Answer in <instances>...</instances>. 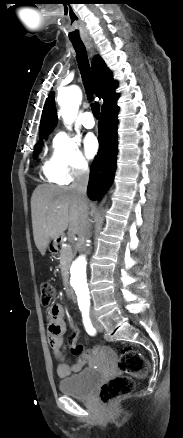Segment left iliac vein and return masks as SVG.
I'll use <instances>...</instances> for the list:
<instances>
[{
    "mask_svg": "<svg viewBox=\"0 0 183 438\" xmlns=\"http://www.w3.org/2000/svg\"><path fill=\"white\" fill-rule=\"evenodd\" d=\"M91 318H92V322H93V325L96 328V330L102 331L103 327H102L101 323L96 319L94 314L91 315Z\"/></svg>",
    "mask_w": 183,
    "mask_h": 438,
    "instance_id": "left-iliac-vein-1",
    "label": "left iliac vein"
}]
</instances>
